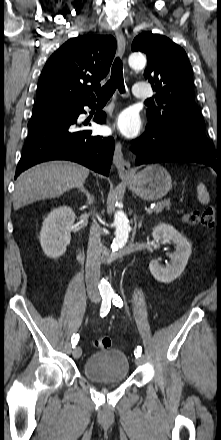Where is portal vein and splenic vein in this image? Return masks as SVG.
I'll list each match as a JSON object with an SVG mask.
<instances>
[{"mask_svg":"<svg viewBox=\"0 0 221 440\" xmlns=\"http://www.w3.org/2000/svg\"><path fill=\"white\" fill-rule=\"evenodd\" d=\"M145 210H146V212L148 214H151L153 212V208L152 207L151 208H146Z\"/></svg>","mask_w":221,"mask_h":440,"instance_id":"portal-vein-and-splenic-vein-1","label":"portal vein and splenic vein"}]
</instances>
